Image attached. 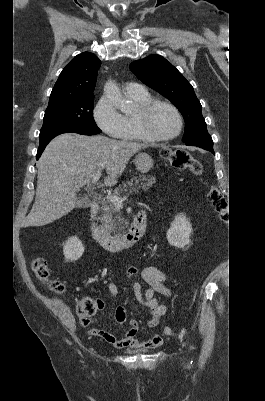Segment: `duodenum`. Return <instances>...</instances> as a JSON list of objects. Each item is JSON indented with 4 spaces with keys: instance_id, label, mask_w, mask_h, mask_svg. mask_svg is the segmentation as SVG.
Returning <instances> with one entry per match:
<instances>
[{
    "instance_id": "1",
    "label": "duodenum",
    "mask_w": 265,
    "mask_h": 401,
    "mask_svg": "<svg viewBox=\"0 0 265 401\" xmlns=\"http://www.w3.org/2000/svg\"><path fill=\"white\" fill-rule=\"evenodd\" d=\"M98 203L93 202L88 212V222L93 239L103 248L110 251H122L137 243L145 233L147 216L144 211H139L133 220L131 227L122 236H112L104 231L96 222Z\"/></svg>"
}]
</instances>
